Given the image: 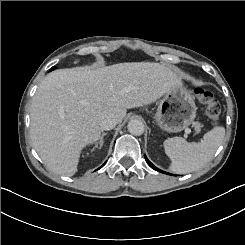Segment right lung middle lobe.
<instances>
[{
    "mask_svg": "<svg viewBox=\"0 0 245 245\" xmlns=\"http://www.w3.org/2000/svg\"><path fill=\"white\" fill-rule=\"evenodd\" d=\"M55 69V67H53L51 70H54Z\"/></svg>",
    "mask_w": 245,
    "mask_h": 245,
    "instance_id": "1",
    "label": "right lung middle lobe"
}]
</instances>
